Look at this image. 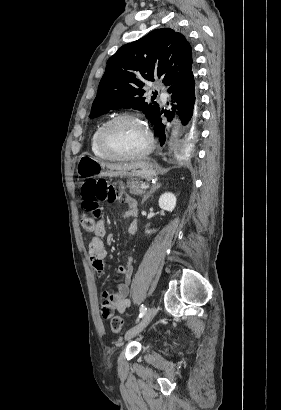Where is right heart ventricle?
Listing matches in <instances>:
<instances>
[{
    "instance_id": "right-heart-ventricle-1",
    "label": "right heart ventricle",
    "mask_w": 281,
    "mask_h": 410,
    "mask_svg": "<svg viewBox=\"0 0 281 410\" xmlns=\"http://www.w3.org/2000/svg\"><path fill=\"white\" fill-rule=\"evenodd\" d=\"M105 121L99 123L96 128L94 129L91 138H90V149L91 152L98 158L101 159H110L106 154L102 152L98 145V133Z\"/></svg>"
}]
</instances>
